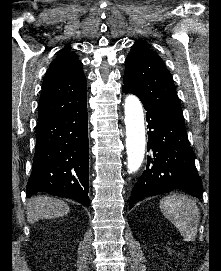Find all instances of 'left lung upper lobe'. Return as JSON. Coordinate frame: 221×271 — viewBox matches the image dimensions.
<instances>
[{"label":"left lung upper lobe","instance_id":"1","mask_svg":"<svg viewBox=\"0 0 221 271\" xmlns=\"http://www.w3.org/2000/svg\"><path fill=\"white\" fill-rule=\"evenodd\" d=\"M125 64L123 87L163 115L185 124L172 76L160 56L148 44L137 41Z\"/></svg>","mask_w":221,"mask_h":271}]
</instances>
